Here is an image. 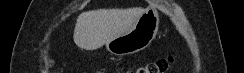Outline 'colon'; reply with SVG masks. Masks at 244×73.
Segmentation results:
<instances>
[{"instance_id": "5ec220e1", "label": "colon", "mask_w": 244, "mask_h": 73, "mask_svg": "<svg viewBox=\"0 0 244 73\" xmlns=\"http://www.w3.org/2000/svg\"><path fill=\"white\" fill-rule=\"evenodd\" d=\"M48 65H51V60L46 61ZM172 62V58H161L153 62H149L145 65L135 68L132 73H163L165 72Z\"/></svg>"}]
</instances>
